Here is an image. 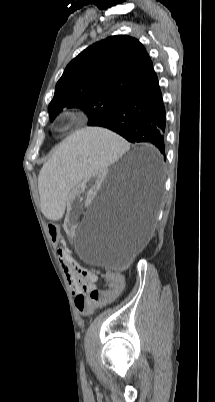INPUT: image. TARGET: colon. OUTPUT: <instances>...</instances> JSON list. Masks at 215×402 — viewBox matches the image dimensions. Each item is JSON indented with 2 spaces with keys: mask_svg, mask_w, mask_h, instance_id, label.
Segmentation results:
<instances>
[{
  "mask_svg": "<svg viewBox=\"0 0 215 402\" xmlns=\"http://www.w3.org/2000/svg\"><path fill=\"white\" fill-rule=\"evenodd\" d=\"M49 234L51 236L50 245L56 246L61 241V230L58 224L50 223L48 225ZM63 262L66 264V268L83 278H89L93 273L87 271L86 269L74 264L73 262L69 261L67 257L62 259ZM108 278L111 280V292L98 290V289H91L87 296L79 295L75 298V306L83 313L91 312L95 307H103L107 305L112 298H120L123 295L122 290L124 289V279L117 275V274H108Z\"/></svg>",
  "mask_w": 215,
  "mask_h": 402,
  "instance_id": "5ec220e1",
  "label": "colon"
}]
</instances>
